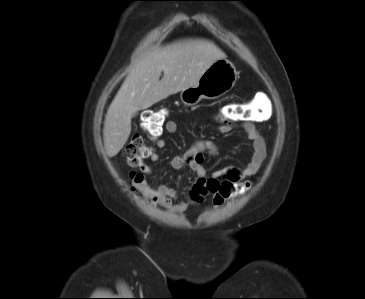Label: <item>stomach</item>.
<instances>
[{"instance_id":"obj_1","label":"stomach","mask_w":365,"mask_h":299,"mask_svg":"<svg viewBox=\"0 0 365 299\" xmlns=\"http://www.w3.org/2000/svg\"><path fill=\"white\" fill-rule=\"evenodd\" d=\"M238 79V72L232 62L221 58L213 62L198 82L181 91L184 105H197L202 99H217L230 91Z\"/></svg>"}]
</instances>
